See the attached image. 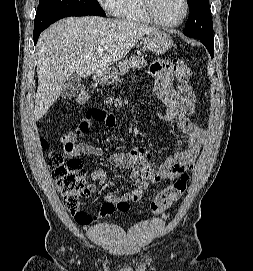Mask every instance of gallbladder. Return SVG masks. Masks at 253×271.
Segmentation results:
<instances>
[{"instance_id":"gallbladder-1","label":"gallbladder","mask_w":253,"mask_h":271,"mask_svg":"<svg viewBox=\"0 0 253 271\" xmlns=\"http://www.w3.org/2000/svg\"><path fill=\"white\" fill-rule=\"evenodd\" d=\"M80 87H81V78L78 75L73 74L65 81L60 96L63 99H71L76 96V94L80 90Z\"/></svg>"}]
</instances>
